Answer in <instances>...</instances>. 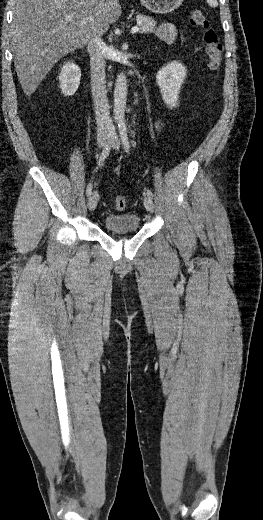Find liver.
Returning <instances> with one entry per match:
<instances>
[{
  "mask_svg": "<svg viewBox=\"0 0 263 520\" xmlns=\"http://www.w3.org/2000/svg\"><path fill=\"white\" fill-rule=\"evenodd\" d=\"M11 42L24 93L33 94L57 61L106 32L121 13L119 0H15ZM66 15H73L66 19Z\"/></svg>",
  "mask_w": 263,
  "mask_h": 520,
  "instance_id": "obj_1",
  "label": "liver"
}]
</instances>
